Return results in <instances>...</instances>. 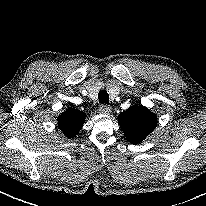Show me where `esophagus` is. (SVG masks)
I'll list each match as a JSON object with an SVG mask.
<instances>
[{"mask_svg":"<svg viewBox=\"0 0 206 206\" xmlns=\"http://www.w3.org/2000/svg\"><path fill=\"white\" fill-rule=\"evenodd\" d=\"M99 111L103 114H110L111 113V107L106 105V104H102L99 107Z\"/></svg>","mask_w":206,"mask_h":206,"instance_id":"esophagus-1","label":"esophagus"}]
</instances>
